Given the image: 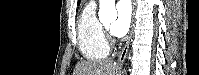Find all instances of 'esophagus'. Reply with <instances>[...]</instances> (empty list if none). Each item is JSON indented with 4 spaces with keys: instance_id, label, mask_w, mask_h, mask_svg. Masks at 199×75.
Listing matches in <instances>:
<instances>
[{
    "instance_id": "obj_1",
    "label": "esophagus",
    "mask_w": 199,
    "mask_h": 75,
    "mask_svg": "<svg viewBox=\"0 0 199 75\" xmlns=\"http://www.w3.org/2000/svg\"><path fill=\"white\" fill-rule=\"evenodd\" d=\"M134 9H135V1L133 2V10ZM133 27H134V16L132 18V26H131L129 35H128V37L126 39V42H125V45H124L123 49L121 50V52L119 54V57H118V64L119 65H122L123 62L126 59V56H127V53H128V49H129V45H130L131 36L133 34Z\"/></svg>"
}]
</instances>
